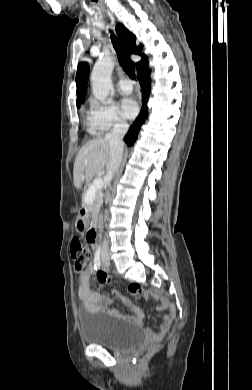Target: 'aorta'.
Segmentation results:
<instances>
[{
  "label": "aorta",
  "mask_w": 252,
  "mask_h": 390,
  "mask_svg": "<svg viewBox=\"0 0 252 390\" xmlns=\"http://www.w3.org/2000/svg\"><path fill=\"white\" fill-rule=\"evenodd\" d=\"M113 68V60L105 56L95 63L91 73L93 95L103 103L106 101L112 89L111 74ZM99 228L102 231V215L99 217Z\"/></svg>",
  "instance_id": "aorta-1"
}]
</instances>
